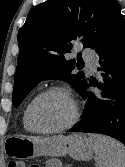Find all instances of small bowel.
<instances>
[{"mask_svg":"<svg viewBox=\"0 0 125 167\" xmlns=\"http://www.w3.org/2000/svg\"><path fill=\"white\" fill-rule=\"evenodd\" d=\"M42 167H58L56 160H48Z\"/></svg>","mask_w":125,"mask_h":167,"instance_id":"small-bowel-1","label":"small bowel"}]
</instances>
